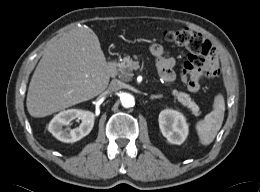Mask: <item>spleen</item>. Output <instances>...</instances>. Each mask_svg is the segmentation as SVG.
I'll return each mask as SVG.
<instances>
[{
  "label": "spleen",
  "mask_w": 260,
  "mask_h": 192,
  "mask_svg": "<svg viewBox=\"0 0 260 192\" xmlns=\"http://www.w3.org/2000/svg\"><path fill=\"white\" fill-rule=\"evenodd\" d=\"M225 112V101L222 94H217L213 102V110L203 120L196 123L199 141L202 145H209L220 130Z\"/></svg>",
  "instance_id": "obj_1"
}]
</instances>
